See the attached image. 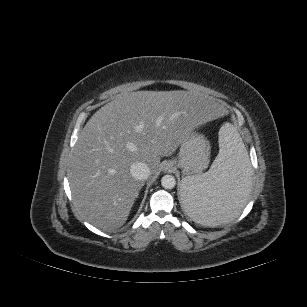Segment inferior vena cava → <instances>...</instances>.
<instances>
[{
    "mask_svg": "<svg viewBox=\"0 0 307 307\" xmlns=\"http://www.w3.org/2000/svg\"><path fill=\"white\" fill-rule=\"evenodd\" d=\"M130 173L135 179L146 180L150 175V169L146 163L139 161L130 166Z\"/></svg>",
    "mask_w": 307,
    "mask_h": 307,
    "instance_id": "obj_1",
    "label": "inferior vena cava"
}]
</instances>
